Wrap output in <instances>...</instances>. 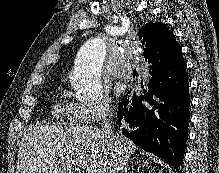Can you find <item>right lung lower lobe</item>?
Masks as SVG:
<instances>
[{
	"label": "right lung lower lobe",
	"mask_w": 219,
	"mask_h": 173,
	"mask_svg": "<svg viewBox=\"0 0 219 173\" xmlns=\"http://www.w3.org/2000/svg\"><path fill=\"white\" fill-rule=\"evenodd\" d=\"M148 90L128 91L131 99L118 106L122 133L140 148L178 169L184 158L190 119L189 83L181 56H151Z\"/></svg>",
	"instance_id": "1"
}]
</instances>
